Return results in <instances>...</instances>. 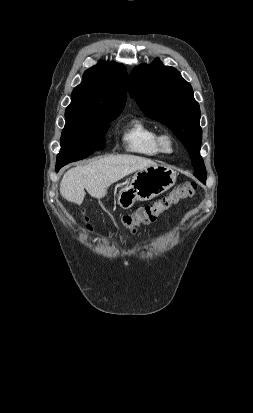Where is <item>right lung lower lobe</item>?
<instances>
[{"instance_id":"1","label":"right lung lower lobe","mask_w":253,"mask_h":413,"mask_svg":"<svg viewBox=\"0 0 253 413\" xmlns=\"http://www.w3.org/2000/svg\"><path fill=\"white\" fill-rule=\"evenodd\" d=\"M63 167V166H56V172H58V170Z\"/></svg>"}]
</instances>
